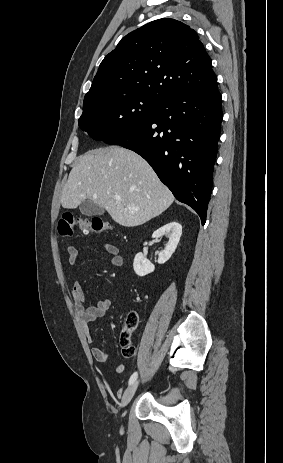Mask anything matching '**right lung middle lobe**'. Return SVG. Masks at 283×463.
Masks as SVG:
<instances>
[{
	"label": "right lung middle lobe",
	"instance_id": "right-lung-middle-lobe-1",
	"mask_svg": "<svg viewBox=\"0 0 283 463\" xmlns=\"http://www.w3.org/2000/svg\"><path fill=\"white\" fill-rule=\"evenodd\" d=\"M158 101L141 95H110L83 104L79 126L93 139L107 141L148 119Z\"/></svg>",
	"mask_w": 283,
	"mask_h": 463
}]
</instances>
